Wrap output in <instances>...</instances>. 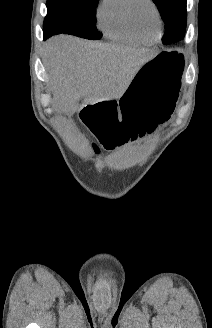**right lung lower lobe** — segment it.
I'll list each match as a JSON object with an SVG mask.
<instances>
[{
	"label": "right lung lower lobe",
	"mask_w": 212,
	"mask_h": 328,
	"mask_svg": "<svg viewBox=\"0 0 212 328\" xmlns=\"http://www.w3.org/2000/svg\"><path fill=\"white\" fill-rule=\"evenodd\" d=\"M44 37L47 38L49 37L48 34L46 32H44Z\"/></svg>",
	"instance_id": "obj_1"
}]
</instances>
